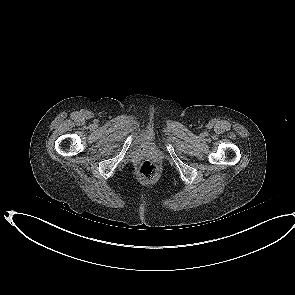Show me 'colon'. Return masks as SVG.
<instances>
[{
	"instance_id": "obj_1",
	"label": "colon",
	"mask_w": 295,
	"mask_h": 295,
	"mask_svg": "<svg viewBox=\"0 0 295 295\" xmlns=\"http://www.w3.org/2000/svg\"><path fill=\"white\" fill-rule=\"evenodd\" d=\"M138 175L142 181L151 182L156 179L158 170L152 162L145 161L140 165Z\"/></svg>"
}]
</instances>
